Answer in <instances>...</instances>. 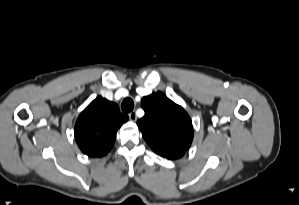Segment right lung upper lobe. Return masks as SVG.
Returning a JSON list of instances; mask_svg holds the SVG:
<instances>
[{"mask_svg": "<svg viewBox=\"0 0 299 205\" xmlns=\"http://www.w3.org/2000/svg\"><path fill=\"white\" fill-rule=\"evenodd\" d=\"M127 120L115 103L97 97L76 121L74 133L79 148L90 157L106 155L113 147L117 130Z\"/></svg>", "mask_w": 299, "mask_h": 205, "instance_id": "1", "label": "right lung upper lobe"}]
</instances>
